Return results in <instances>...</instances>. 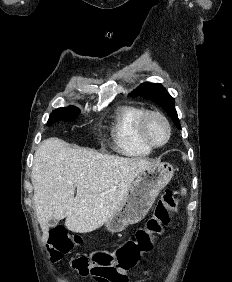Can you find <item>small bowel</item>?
I'll return each mask as SVG.
<instances>
[{"instance_id":"small-bowel-1","label":"small bowel","mask_w":232,"mask_h":282,"mask_svg":"<svg viewBox=\"0 0 232 282\" xmlns=\"http://www.w3.org/2000/svg\"><path fill=\"white\" fill-rule=\"evenodd\" d=\"M158 254L162 253V246H157ZM143 275H147V271L141 272ZM96 282H130V276L127 270L116 268L113 273L106 277L94 278Z\"/></svg>"}]
</instances>
